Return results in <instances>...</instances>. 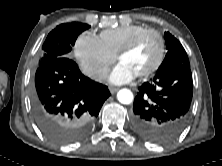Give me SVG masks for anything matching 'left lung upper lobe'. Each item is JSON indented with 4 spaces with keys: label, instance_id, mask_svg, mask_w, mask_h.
<instances>
[{
    "label": "left lung upper lobe",
    "instance_id": "5c2ea615",
    "mask_svg": "<svg viewBox=\"0 0 222 166\" xmlns=\"http://www.w3.org/2000/svg\"><path fill=\"white\" fill-rule=\"evenodd\" d=\"M167 53L156 73H162L172 68H190L189 59L181 43L169 32H165Z\"/></svg>",
    "mask_w": 222,
    "mask_h": 166
}]
</instances>
